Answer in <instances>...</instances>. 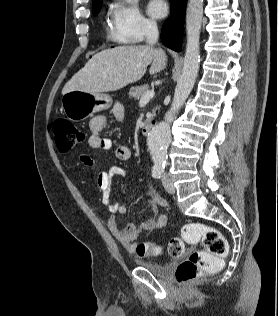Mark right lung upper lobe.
<instances>
[{
  "label": "right lung upper lobe",
  "mask_w": 278,
  "mask_h": 316,
  "mask_svg": "<svg viewBox=\"0 0 278 316\" xmlns=\"http://www.w3.org/2000/svg\"><path fill=\"white\" fill-rule=\"evenodd\" d=\"M100 1H102V0H93V6L96 5Z\"/></svg>",
  "instance_id": "obj_1"
}]
</instances>
